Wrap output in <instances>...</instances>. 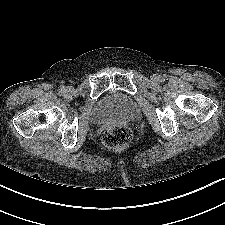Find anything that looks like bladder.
Returning a JSON list of instances; mask_svg holds the SVG:
<instances>
[{"mask_svg":"<svg viewBox=\"0 0 225 225\" xmlns=\"http://www.w3.org/2000/svg\"><path fill=\"white\" fill-rule=\"evenodd\" d=\"M139 112V107L132 97L116 92L97 105L92 119L95 123H105L114 119L133 120Z\"/></svg>","mask_w":225,"mask_h":225,"instance_id":"31cf9c89","label":"bladder"}]
</instances>
